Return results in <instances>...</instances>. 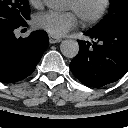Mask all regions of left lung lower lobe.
Here are the masks:
<instances>
[{
	"instance_id": "0a47b994",
	"label": "left lung lower lobe",
	"mask_w": 128,
	"mask_h": 128,
	"mask_svg": "<svg viewBox=\"0 0 128 128\" xmlns=\"http://www.w3.org/2000/svg\"><path fill=\"white\" fill-rule=\"evenodd\" d=\"M93 44L80 41L70 69L83 84L99 88L116 82L128 71V25L106 32H85Z\"/></svg>"
}]
</instances>
